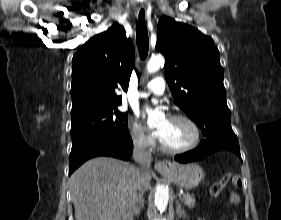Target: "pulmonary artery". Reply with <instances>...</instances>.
Segmentation results:
<instances>
[{
	"label": "pulmonary artery",
	"instance_id": "pulmonary-artery-1",
	"mask_svg": "<svg viewBox=\"0 0 281 220\" xmlns=\"http://www.w3.org/2000/svg\"><path fill=\"white\" fill-rule=\"evenodd\" d=\"M165 91V81L161 77L152 79L146 86V93L143 97L161 96Z\"/></svg>",
	"mask_w": 281,
	"mask_h": 220
}]
</instances>
